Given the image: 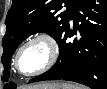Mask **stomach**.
<instances>
[{"mask_svg": "<svg viewBox=\"0 0 107 89\" xmlns=\"http://www.w3.org/2000/svg\"><path fill=\"white\" fill-rule=\"evenodd\" d=\"M31 89H36V88H31ZM43 89H44V87H43ZM57 89H63V87L61 86V87H59V88H57Z\"/></svg>", "mask_w": 107, "mask_h": 89, "instance_id": "1", "label": "stomach"}]
</instances>
